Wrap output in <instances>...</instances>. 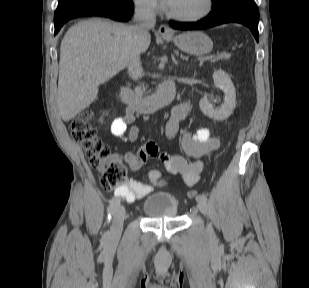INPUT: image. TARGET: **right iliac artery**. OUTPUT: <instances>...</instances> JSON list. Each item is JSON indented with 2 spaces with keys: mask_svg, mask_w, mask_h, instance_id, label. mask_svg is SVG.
<instances>
[{
  "mask_svg": "<svg viewBox=\"0 0 309 288\" xmlns=\"http://www.w3.org/2000/svg\"><path fill=\"white\" fill-rule=\"evenodd\" d=\"M120 203V200L118 198H113L108 206L107 212H108V219H111V215L114 213L116 208L118 207Z\"/></svg>",
  "mask_w": 309,
  "mask_h": 288,
  "instance_id": "right-iliac-artery-1",
  "label": "right iliac artery"
}]
</instances>
